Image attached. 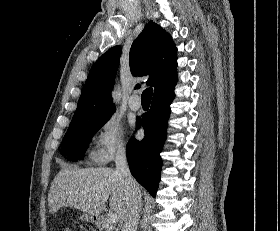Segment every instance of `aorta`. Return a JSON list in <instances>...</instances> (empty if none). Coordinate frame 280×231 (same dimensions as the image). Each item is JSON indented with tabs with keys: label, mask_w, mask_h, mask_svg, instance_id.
Listing matches in <instances>:
<instances>
[{
	"label": "aorta",
	"mask_w": 280,
	"mask_h": 231,
	"mask_svg": "<svg viewBox=\"0 0 280 231\" xmlns=\"http://www.w3.org/2000/svg\"><path fill=\"white\" fill-rule=\"evenodd\" d=\"M120 92H118V90H114V92H112V98L114 100V102H119L120 100Z\"/></svg>",
	"instance_id": "obj_1"
}]
</instances>
